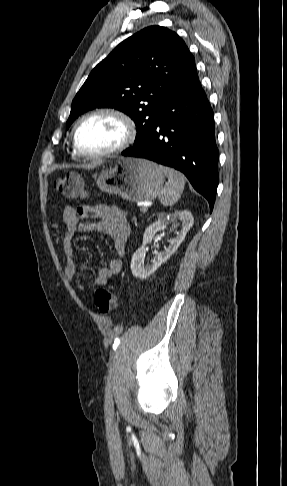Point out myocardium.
Segmentation results:
<instances>
[{
  "instance_id": "obj_1",
  "label": "myocardium",
  "mask_w": 287,
  "mask_h": 486,
  "mask_svg": "<svg viewBox=\"0 0 287 486\" xmlns=\"http://www.w3.org/2000/svg\"><path fill=\"white\" fill-rule=\"evenodd\" d=\"M99 115H107V116H112L119 120L121 124L123 125L124 128V136L121 140L120 143H118L116 146L107 149L105 151L101 152H86L82 150L77 142V133L80 128V126L88 119L99 116ZM137 134L136 130V125L133 121V119L125 112L122 110L116 109V108H98L95 110H92L86 114H84L74 125L73 131H72V147L74 152L84 158L88 159H99V158H105L108 156H111L113 154L119 153L126 148H128L135 140Z\"/></svg>"
}]
</instances>
